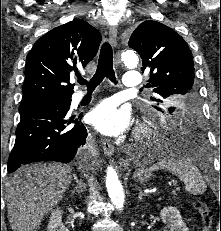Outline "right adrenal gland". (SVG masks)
<instances>
[{
    "label": "right adrenal gland",
    "instance_id": "1",
    "mask_svg": "<svg viewBox=\"0 0 221 231\" xmlns=\"http://www.w3.org/2000/svg\"><path fill=\"white\" fill-rule=\"evenodd\" d=\"M73 177L77 184L73 190V193L76 192L77 194H82L86 188L85 183L83 182L82 179H79L76 174H73Z\"/></svg>",
    "mask_w": 221,
    "mask_h": 231
}]
</instances>
